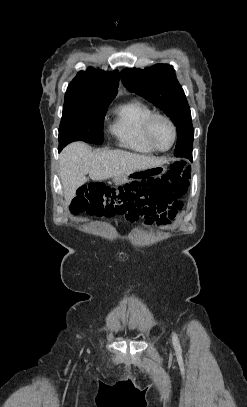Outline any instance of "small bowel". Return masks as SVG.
I'll list each match as a JSON object with an SVG mask.
<instances>
[{
  "label": "small bowel",
  "mask_w": 247,
  "mask_h": 407,
  "mask_svg": "<svg viewBox=\"0 0 247 407\" xmlns=\"http://www.w3.org/2000/svg\"><path fill=\"white\" fill-rule=\"evenodd\" d=\"M182 208L183 203L180 199L174 203L163 199H147L139 209L121 217L130 223L140 222L144 226L165 227L174 222Z\"/></svg>",
  "instance_id": "c3829d8e"
}]
</instances>
